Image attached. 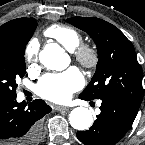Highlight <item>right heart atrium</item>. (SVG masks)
Here are the masks:
<instances>
[{
    "label": "right heart atrium",
    "mask_w": 145,
    "mask_h": 145,
    "mask_svg": "<svg viewBox=\"0 0 145 145\" xmlns=\"http://www.w3.org/2000/svg\"><path fill=\"white\" fill-rule=\"evenodd\" d=\"M39 43L37 40H31L25 49V60L28 64L33 65L38 59Z\"/></svg>",
    "instance_id": "d8ad5b80"
}]
</instances>
